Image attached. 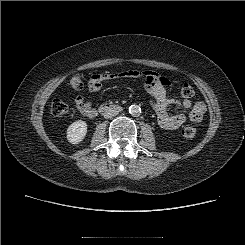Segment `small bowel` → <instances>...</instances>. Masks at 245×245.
<instances>
[{
    "label": "small bowel",
    "instance_id": "1",
    "mask_svg": "<svg viewBox=\"0 0 245 245\" xmlns=\"http://www.w3.org/2000/svg\"><path fill=\"white\" fill-rule=\"evenodd\" d=\"M119 78H141L145 81L150 104L156 114L158 124L163 130L178 129L187 120L194 123L200 122L205 115L206 106L201 101L193 102L189 98L180 101L168 97L167 90L171 88V82L166 77L150 70H127L120 73L94 74L89 78L88 88L91 91H96L103 82ZM75 106L82 115L88 118H93L96 115V109L92 103L86 101L82 96L75 98ZM169 107L189 110V113L188 115L182 113L171 115L168 113Z\"/></svg>",
    "mask_w": 245,
    "mask_h": 245
}]
</instances>
